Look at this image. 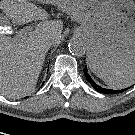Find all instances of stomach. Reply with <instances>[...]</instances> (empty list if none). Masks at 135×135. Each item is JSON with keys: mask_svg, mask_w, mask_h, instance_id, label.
<instances>
[{"mask_svg": "<svg viewBox=\"0 0 135 135\" xmlns=\"http://www.w3.org/2000/svg\"><path fill=\"white\" fill-rule=\"evenodd\" d=\"M56 5L80 23L95 74L110 75L135 65L133 0H38Z\"/></svg>", "mask_w": 135, "mask_h": 135, "instance_id": "obj_1", "label": "stomach"}]
</instances>
